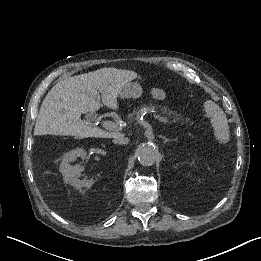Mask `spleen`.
Wrapping results in <instances>:
<instances>
[{
  "label": "spleen",
  "mask_w": 261,
  "mask_h": 261,
  "mask_svg": "<svg viewBox=\"0 0 261 261\" xmlns=\"http://www.w3.org/2000/svg\"><path fill=\"white\" fill-rule=\"evenodd\" d=\"M208 105L205 107L207 115L211 118V123L214 129V135L216 140L220 144H226L230 140L229 126L227 118L223 110L219 106L208 101Z\"/></svg>",
  "instance_id": "obj_1"
}]
</instances>
